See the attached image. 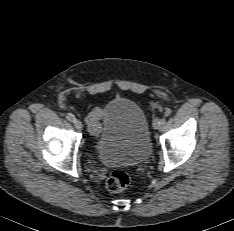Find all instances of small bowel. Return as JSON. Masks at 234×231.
I'll use <instances>...</instances> for the list:
<instances>
[{
	"label": "small bowel",
	"instance_id": "1",
	"mask_svg": "<svg viewBox=\"0 0 234 231\" xmlns=\"http://www.w3.org/2000/svg\"><path fill=\"white\" fill-rule=\"evenodd\" d=\"M104 108H95L87 117V125L90 133L94 136H98L101 131L100 120L105 118Z\"/></svg>",
	"mask_w": 234,
	"mask_h": 231
}]
</instances>
